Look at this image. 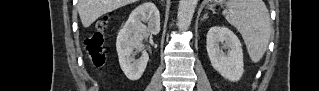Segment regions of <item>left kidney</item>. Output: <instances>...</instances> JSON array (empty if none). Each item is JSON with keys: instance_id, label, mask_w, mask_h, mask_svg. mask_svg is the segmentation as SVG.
<instances>
[{"instance_id": "1", "label": "left kidney", "mask_w": 319, "mask_h": 91, "mask_svg": "<svg viewBox=\"0 0 319 91\" xmlns=\"http://www.w3.org/2000/svg\"><path fill=\"white\" fill-rule=\"evenodd\" d=\"M206 49L213 68L225 79L239 81L244 72L242 45L224 26H213L207 33ZM224 49H228L224 52Z\"/></svg>"}]
</instances>
